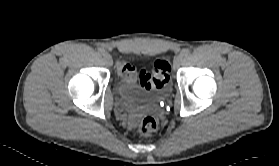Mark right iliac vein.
Returning <instances> with one entry per match:
<instances>
[{
  "label": "right iliac vein",
  "instance_id": "1",
  "mask_svg": "<svg viewBox=\"0 0 279 166\" xmlns=\"http://www.w3.org/2000/svg\"><path fill=\"white\" fill-rule=\"evenodd\" d=\"M104 60H105V63H106L108 66H112V65H113V59H112V57H111L110 54L105 53V54H104Z\"/></svg>",
  "mask_w": 279,
  "mask_h": 166
}]
</instances>
